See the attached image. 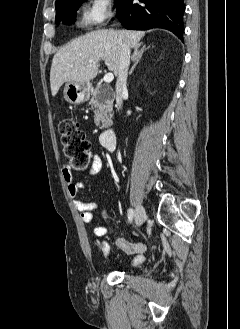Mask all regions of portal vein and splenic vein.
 Wrapping results in <instances>:
<instances>
[{
  "label": "portal vein and splenic vein",
  "instance_id": "18ae733b",
  "mask_svg": "<svg viewBox=\"0 0 240 329\" xmlns=\"http://www.w3.org/2000/svg\"><path fill=\"white\" fill-rule=\"evenodd\" d=\"M89 64L92 65L93 62L90 61ZM113 79H114V75L112 73H107L103 78L104 82L106 83H110L111 81H113Z\"/></svg>",
  "mask_w": 240,
  "mask_h": 329
}]
</instances>
